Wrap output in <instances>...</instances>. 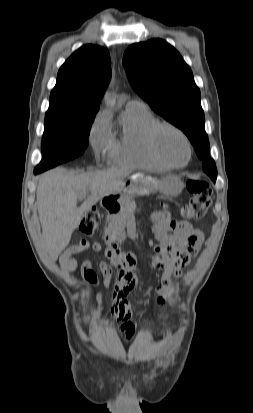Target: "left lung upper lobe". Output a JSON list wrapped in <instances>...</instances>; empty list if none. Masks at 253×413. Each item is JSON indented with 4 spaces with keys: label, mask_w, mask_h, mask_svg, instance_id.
I'll return each mask as SVG.
<instances>
[{
    "label": "left lung upper lobe",
    "mask_w": 253,
    "mask_h": 413,
    "mask_svg": "<svg viewBox=\"0 0 253 413\" xmlns=\"http://www.w3.org/2000/svg\"><path fill=\"white\" fill-rule=\"evenodd\" d=\"M123 66L133 89L156 113L187 135L203 160V171L216 180L200 90L179 52L162 39L135 43L125 51Z\"/></svg>",
    "instance_id": "5c2ea615"
}]
</instances>
